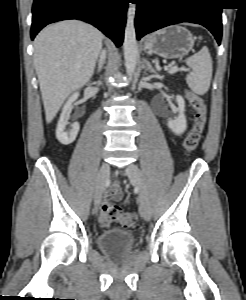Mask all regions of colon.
<instances>
[{"mask_svg":"<svg viewBox=\"0 0 246 300\" xmlns=\"http://www.w3.org/2000/svg\"><path fill=\"white\" fill-rule=\"evenodd\" d=\"M187 99L195 109L194 124L188 135L184 139L183 148L185 153L190 154L196 150L207 122V107L204 100L196 93L187 91ZM103 214L111 221L117 222L125 227L134 226L137 217L133 213L125 212L120 206L111 204L109 199H105L102 205Z\"/></svg>","mask_w":246,"mask_h":300,"instance_id":"obj_1","label":"colon"}]
</instances>
